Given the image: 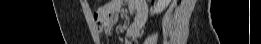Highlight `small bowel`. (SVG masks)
I'll return each mask as SVG.
<instances>
[{"label": "small bowel", "instance_id": "obj_1", "mask_svg": "<svg viewBox=\"0 0 261 44\" xmlns=\"http://www.w3.org/2000/svg\"><path fill=\"white\" fill-rule=\"evenodd\" d=\"M125 3L126 2L122 0H112L101 6L97 13H94L95 24L100 34L103 32L109 34L111 32V24L117 22ZM128 6L134 14V21L126 31L124 43L134 44L145 23L147 7L142 1L138 0L128 2Z\"/></svg>", "mask_w": 261, "mask_h": 44}]
</instances>
